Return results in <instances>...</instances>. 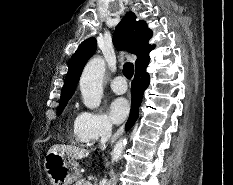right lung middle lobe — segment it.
<instances>
[{
  "mask_svg": "<svg viewBox=\"0 0 233 185\" xmlns=\"http://www.w3.org/2000/svg\"><path fill=\"white\" fill-rule=\"evenodd\" d=\"M67 104V101H62L59 103V107H58V115H60L63 111V109L65 108Z\"/></svg>",
  "mask_w": 233,
  "mask_h": 185,
  "instance_id": "1",
  "label": "right lung middle lobe"
}]
</instances>
